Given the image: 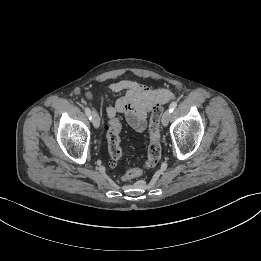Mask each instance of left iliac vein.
I'll list each match as a JSON object with an SVG mask.
<instances>
[{
  "instance_id": "obj_1",
  "label": "left iliac vein",
  "mask_w": 261,
  "mask_h": 261,
  "mask_svg": "<svg viewBox=\"0 0 261 261\" xmlns=\"http://www.w3.org/2000/svg\"><path fill=\"white\" fill-rule=\"evenodd\" d=\"M170 116H171V113L169 111V109H167L163 115H162V124L163 126H167L168 123H169V120H170Z\"/></svg>"
}]
</instances>
